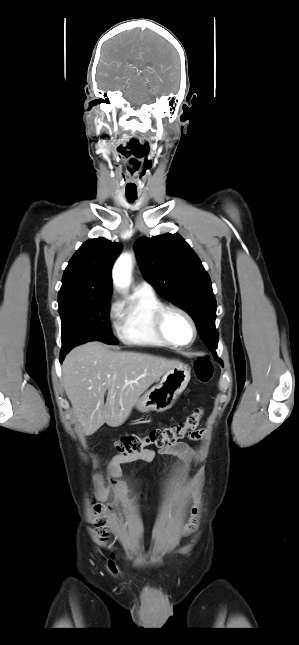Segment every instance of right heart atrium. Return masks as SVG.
<instances>
[{"label":"right heart atrium","mask_w":299,"mask_h":645,"mask_svg":"<svg viewBox=\"0 0 299 645\" xmlns=\"http://www.w3.org/2000/svg\"><path fill=\"white\" fill-rule=\"evenodd\" d=\"M119 308H120L119 303L117 301H115V300H112L110 302V304H109V307H108V314L110 316H113V315L117 314Z\"/></svg>","instance_id":"obj_1"}]
</instances>
